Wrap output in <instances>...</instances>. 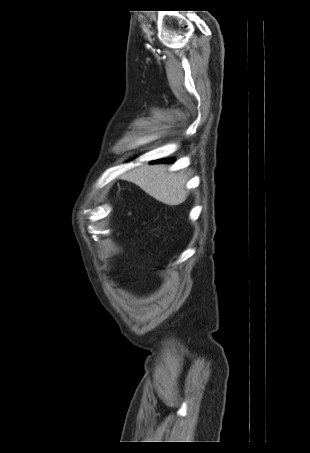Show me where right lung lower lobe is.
Returning <instances> with one entry per match:
<instances>
[{"instance_id": "obj_1", "label": "right lung lower lobe", "mask_w": 310, "mask_h": 453, "mask_svg": "<svg viewBox=\"0 0 310 453\" xmlns=\"http://www.w3.org/2000/svg\"><path fill=\"white\" fill-rule=\"evenodd\" d=\"M158 163H167V162H173V159H163V160H158Z\"/></svg>"}]
</instances>
